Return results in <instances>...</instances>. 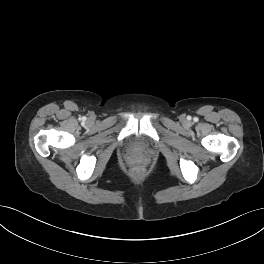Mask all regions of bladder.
Instances as JSON below:
<instances>
[{
	"mask_svg": "<svg viewBox=\"0 0 264 264\" xmlns=\"http://www.w3.org/2000/svg\"><path fill=\"white\" fill-rule=\"evenodd\" d=\"M129 148L133 151L141 152L146 149V145L141 139L136 138L131 141V143L129 144Z\"/></svg>",
	"mask_w": 264,
	"mask_h": 264,
	"instance_id": "bladder-1",
	"label": "bladder"
}]
</instances>
